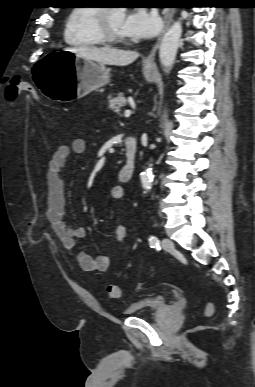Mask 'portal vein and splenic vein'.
<instances>
[{
    "label": "portal vein and splenic vein",
    "mask_w": 255,
    "mask_h": 387,
    "mask_svg": "<svg viewBox=\"0 0 255 387\" xmlns=\"http://www.w3.org/2000/svg\"><path fill=\"white\" fill-rule=\"evenodd\" d=\"M131 115V110H126L125 113H124V116L125 117H129Z\"/></svg>",
    "instance_id": "1"
}]
</instances>
